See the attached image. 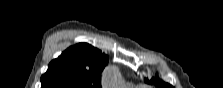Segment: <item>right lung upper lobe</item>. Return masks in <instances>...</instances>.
<instances>
[{"label":"right lung upper lobe","mask_w":223,"mask_h":88,"mask_svg":"<svg viewBox=\"0 0 223 88\" xmlns=\"http://www.w3.org/2000/svg\"><path fill=\"white\" fill-rule=\"evenodd\" d=\"M108 58L87 43L69 47L51 61L41 88H101V72Z\"/></svg>","instance_id":"1"}]
</instances>
